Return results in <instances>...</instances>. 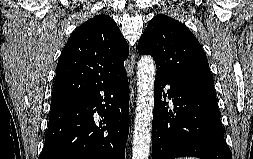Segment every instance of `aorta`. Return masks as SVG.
I'll return each mask as SVG.
<instances>
[{
    "mask_svg": "<svg viewBox=\"0 0 253 159\" xmlns=\"http://www.w3.org/2000/svg\"><path fill=\"white\" fill-rule=\"evenodd\" d=\"M138 94L134 121L132 159H148L154 107L155 64L150 56H142L137 71Z\"/></svg>",
    "mask_w": 253,
    "mask_h": 159,
    "instance_id": "762f6f07",
    "label": "aorta"
}]
</instances>
